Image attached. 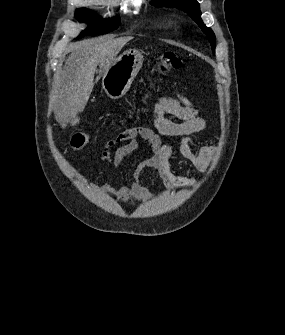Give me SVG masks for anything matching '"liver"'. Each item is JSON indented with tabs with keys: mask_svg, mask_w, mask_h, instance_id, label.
Here are the masks:
<instances>
[{
	"mask_svg": "<svg viewBox=\"0 0 285 335\" xmlns=\"http://www.w3.org/2000/svg\"><path fill=\"white\" fill-rule=\"evenodd\" d=\"M130 40L131 36L115 40H83L67 48L66 52L71 54L66 60L62 78L53 92L54 114L61 128H66L87 106L94 88L97 66H100L101 72H106Z\"/></svg>",
	"mask_w": 285,
	"mask_h": 335,
	"instance_id": "obj_1",
	"label": "liver"
}]
</instances>
